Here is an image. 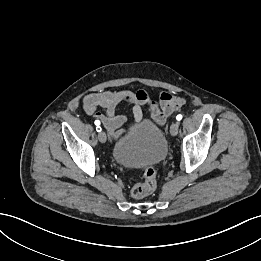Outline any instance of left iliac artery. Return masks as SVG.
<instances>
[{
	"label": "left iliac artery",
	"mask_w": 261,
	"mask_h": 261,
	"mask_svg": "<svg viewBox=\"0 0 261 261\" xmlns=\"http://www.w3.org/2000/svg\"><path fill=\"white\" fill-rule=\"evenodd\" d=\"M176 119H177V121H180V120L182 119V115H181V114H178V115L176 116Z\"/></svg>",
	"instance_id": "obj_1"
}]
</instances>
